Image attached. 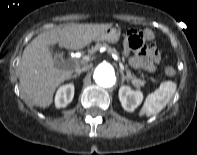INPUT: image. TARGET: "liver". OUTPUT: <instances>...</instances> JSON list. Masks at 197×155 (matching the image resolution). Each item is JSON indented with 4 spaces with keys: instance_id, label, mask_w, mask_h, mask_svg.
Segmentation results:
<instances>
[{
    "instance_id": "1",
    "label": "liver",
    "mask_w": 197,
    "mask_h": 155,
    "mask_svg": "<svg viewBox=\"0 0 197 155\" xmlns=\"http://www.w3.org/2000/svg\"><path fill=\"white\" fill-rule=\"evenodd\" d=\"M112 24H71L39 34L24 49L18 73L21 92L35 105L46 108L53 102L56 88L71 78L73 70L56 67L50 45L78 50L89 45Z\"/></svg>"
}]
</instances>
